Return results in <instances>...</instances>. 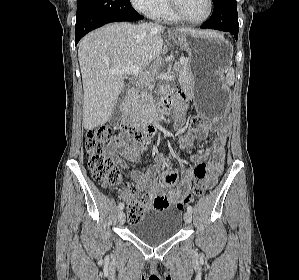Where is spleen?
<instances>
[{
	"instance_id": "spleen-1",
	"label": "spleen",
	"mask_w": 299,
	"mask_h": 280,
	"mask_svg": "<svg viewBox=\"0 0 299 280\" xmlns=\"http://www.w3.org/2000/svg\"><path fill=\"white\" fill-rule=\"evenodd\" d=\"M226 81L227 84L232 86L234 84L235 81V74H234V69L232 67H230L228 69L227 75H226Z\"/></svg>"
}]
</instances>
